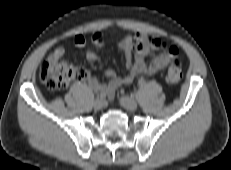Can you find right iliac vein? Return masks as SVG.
I'll return each instance as SVG.
<instances>
[{
	"label": "right iliac vein",
	"mask_w": 231,
	"mask_h": 170,
	"mask_svg": "<svg viewBox=\"0 0 231 170\" xmlns=\"http://www.w3.org/2000/svg\"><path fill=\"white\" fill-rule=\"evenodd\" d=\"M93 107L96 110H101L104 107L103 99L97 98L93 103Z\"/></svg>",
	"instance_id": "right-iliac-vein-1"
}]
</instances>
